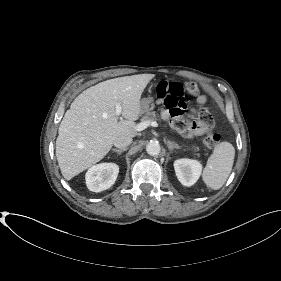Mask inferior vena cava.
Masks as SVG:
<instances>
[{"mask_svg":"<svg viewBox=\"0 0 281 281\" xmlns=\"http://www.w3.org/2000/svg\"><path fill=\"white\" fill-rule=\"evenodd\" d=\"M132 143V138L127 136H120L114 140V146L117 148H126Z\"/></svg>","mask_w":281,"mask_h":281,"instance_id":"obj_1","label":"inferior vena cava"}]
</instances>
